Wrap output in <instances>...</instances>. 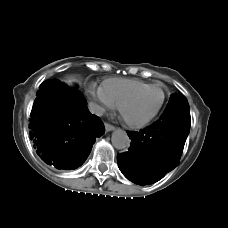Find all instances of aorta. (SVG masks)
Here are the masks:
<instances>
[{"instance_id": "obj_1", "label": "aorta", "mask_w": 228, "mask_h": 228, "mask_svg": "<svg viewBox=\"0 0 228 228\" xmlns=\"http://www.w3.org/2000/svg\"><path fill=\"white\" fill-rule=\"evenodd\" d=\"M112 145L118 150H125L130 146V139L122 129H117L112 134Z\"/></svg>"}]
</instances>
